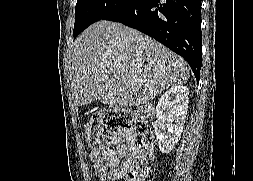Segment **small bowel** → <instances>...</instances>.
<instances>
[{"mask_svg": "<svg viewBox=\"0 0 253 181\" xmlns=\"http://www.w3.org/2000/svg\"><path fill=\"white\" fill-rule=\"evenodd\" d=\"M129 147L120 145L116 149L94 150L90 153L92 171L97 181H109L110 177L118 172L120 159L127 156Z\"/></svg>", "mask_w": 253, "mask_h": 181, "instance_id": "obj_1", "label": "small bowel"}]
</instances>
